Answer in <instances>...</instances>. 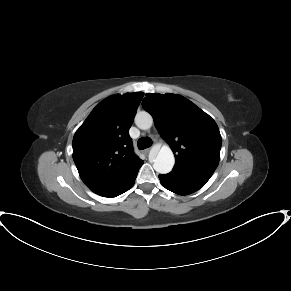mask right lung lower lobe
I'll return each mask as SVG.
<instances>
[{
    "label": "right lung lower lobe",
    "instance_id": "right-lung-lower-lobe-1",
    "mask_svg": "<svg viewBox=\"0 0 291 291\" xmlns=\"http://www.w3.org/2000/svg\"><path fill=\"white\" fill-rule=\"evenodd\" d=\"M137 176V175H136ZM136 176L125 186V187H123L121 190H119L118 192H115V193H113V194H110V195H107V196H104V197H109V198H113V197H116V196H118V195H120V194H122V193H124V192H126L127 190H129L132 186H133V184H134V182H135V179H136Z\"/></svg>",
    "mask_w": 291,
    "mask_h": 291
}]
</instances>
